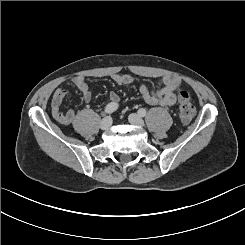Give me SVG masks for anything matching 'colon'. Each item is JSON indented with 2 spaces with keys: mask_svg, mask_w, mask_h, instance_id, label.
Masks as SVG:
<instances>
[{
  "mask_svg": "<svg viewBox=\"0 0 245 245\" xmlns=\"http://www.w3.org/2000/svg\"><path fill=\"white\" fill-rule=\"evenodd\" d=\"M178 106L181 121L184 124L190 123L194 118L196 111L189 93L183 89H178Z\"/></svg>",
  "mask_w": 245,
  "mask_h": 245,
  "instance_id": "colon-1",
  "label": "colon"
}]
</instances>
